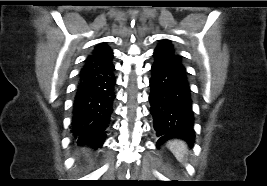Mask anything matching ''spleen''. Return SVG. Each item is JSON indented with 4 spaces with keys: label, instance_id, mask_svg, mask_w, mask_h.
<instances>
[{
    "label": "spleen",
    "instance_id": "3e777b00",
    "mask_svg": "<svg viewBox=\"0 0 267 186\" xmlns=\"http://www.w3.org/2000/svg\"><path fill=\"white\" fill-rule=\"evenodd\" d=\"M167 147L179 162L182 163L184 161V157L187 153V145L184 142L179 140L169 141Z\"/></svg>",
    "mask_w": 267,
    "mask_h": 186
}]
</instances>
